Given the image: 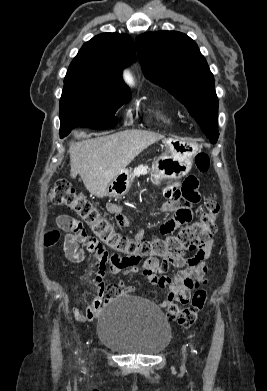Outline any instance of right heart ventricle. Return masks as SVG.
Here are the masks:
<instances>
[{"label":"right heart ventricle","mask_w":267,"mask_h":391,"mask_svg":"<svg viewBox=\"0 0 267 391\" xmlns=\"http://www.w3.org/2000/svg\"><path fill=\"white\" fill-rule=\"evenodd\" d=\"M161 117H162L164 120L168 121V122L171 120L169 117L164 116V115H161Z\"/></svg>","instance_id":"e07e8e85"}]
</instances>
